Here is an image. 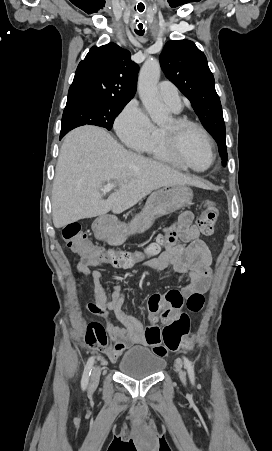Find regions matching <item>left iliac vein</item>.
<instances>
[{
	"mask_svg": "<svg viewBox=\"0 0 272 451\" xmlns=\"http://www.w3.org/2000/svg\"><path fill=\"white\" fill-rule=\"evenodd\" d=\"M176 370L179 372L180 380L183 384H186V375L185 372L182 370L181 365H176Z\"/></svg>",
	"mask_w": 272,
	"mask_h": 451,
	"instance_id": "4c4485c4",
	"label": "left iliac vein"
}]
</instances>
